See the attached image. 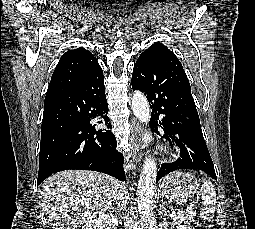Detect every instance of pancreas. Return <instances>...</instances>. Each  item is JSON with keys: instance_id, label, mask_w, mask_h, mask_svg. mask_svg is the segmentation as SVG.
Returning <instances> with one entry per match:
<instances>
[{"instance_id": "obj_1", "label": "pancreas", "mask_w": 255, "mask_h": 229, "mask_svg": "<svg viewBox=\"0 0 255 229\" xmlns=\"http://www.w3.org/2000/svg\"><path fill=\"white\" fill-rule=\"evenodd\" d=\"M194 217H195V211L192 209L180 212V213H178V215H173L171 217L172 228L173 229L177 228V225L179 223H184L186 225H189L191 222H194Z\"/></svg>"}]
</instances>
